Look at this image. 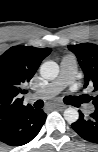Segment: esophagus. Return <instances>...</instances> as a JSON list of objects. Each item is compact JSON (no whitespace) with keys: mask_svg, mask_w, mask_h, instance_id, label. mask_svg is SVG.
Segmentation results:
<instances>
[{"mask_svg":"<svg viewBox=\"0 0 98 152\" xmlns=\"http://www.w3.org/2000/svg\"><path fill=\"white\" fill-rule=\"evenodd\" d=\"M65 107H66L65 105L60 104V103H52L49 105V108L56 109V110H64Z\"/></svg>","mask_w":98,"mask_h":152,"instance_id":"esophagus-1","label":"esophagus"}]
</instances>
